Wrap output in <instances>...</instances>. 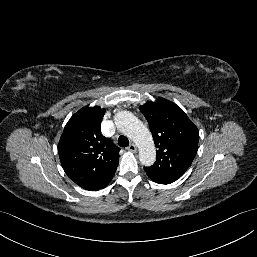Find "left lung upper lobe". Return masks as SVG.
<instances>
[{"label":"left lung upper lobe","mask_w":257,"mask_h":257,"mask_svg":"<svg viewBox=\"0 0 257 257\" xmlns=\"http://www.w3.org/2000/svg\"><path fill=\"white\" fill-rule=\"evenodd\" d=\"M140 111L148 121L157 148L156 162L144 170L148 175L174 182L196 156L199 131L179 106L164 98L147 102Z\"/></svg>","instance_id":"1"}]
</instances>
